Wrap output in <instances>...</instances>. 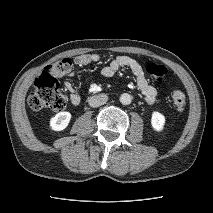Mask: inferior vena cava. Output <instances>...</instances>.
Segmentation results:
<instances>
[{
    "label": "inferior vena cava",
    "instance_id": "1",
    "mask_svg": "<svg viewBox=\"0 0 213 213\" xmlns=\"http://www.w3.org/2000/svg\"><path fill=\"white\" fill-rule=\"evenodd\" d=\"M108 100V96L106 94H98L92 96L88 99V103L91 107L96 108L101 105H104Z\"/></svg>",
    "mask_w": 213,
    "mask_h": 213
}]
</instances>
